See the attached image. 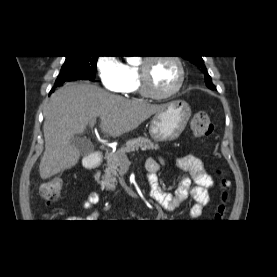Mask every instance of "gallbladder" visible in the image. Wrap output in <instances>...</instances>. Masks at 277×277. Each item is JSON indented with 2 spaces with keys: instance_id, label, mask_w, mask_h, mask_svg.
Listing matches in <instances>:
<instances>
[{
  "instance_id": "obj_1",
  "label": "gallbladder",
  "mask_w": 277,
  "mask_h": 277,
  "mask_svg": "<svg viewBox=\"0 0 277 277\" xmlns=\"http://www.w3.org/2000/svg\"><path fill=\"white\" fill-rule=\"evenodd\" d=\"M71 144L77 148V150L82 156L89 155L94 151L92 143L85 138L75 136L71 140Z\"/></svg>"
}]
</instances>
